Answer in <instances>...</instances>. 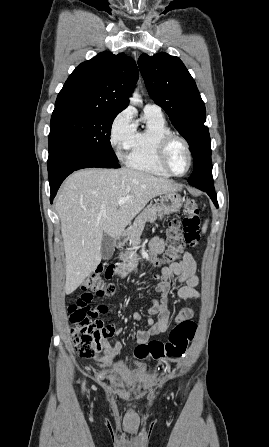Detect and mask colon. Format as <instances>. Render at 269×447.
<instances>
[{"mask_svg":"<svg viewBox=\"0 0 269 447\" xmlns=\"http://www.w3.org/2000/svg\"><path fill=\"white\" fill-rule=\"evenodd\" d=\"M183 210V219L174 218L168 224L165 235L167 249L158 258L159 265L177 262L185 244L195 246L200 242L201 210L198 203L187 200ZM108 267L115 265L110 263ZM82 288L86 295L68 308V314L73 324L71 332L76 350L81 357L90 358L102 349L103 339L114 336L112 324L99 318L108 312V308L103 304L96 305L95 298L115 294L117 285L111 283L104 273H93L84 280ZM91 318L94 320H90ZM195 333L196 325L193 321H180L170 330L167 341L140 344L134 349V357L137 360L181 357Z\"/></svg>","mask_w":269,"mask_h":447,"instance_id":"obj_1","label":"colon"}]
</instances>
